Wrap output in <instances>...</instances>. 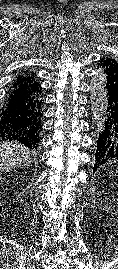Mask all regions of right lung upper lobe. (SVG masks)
Instances as JSON below:
<instances>
[{
	"instance_id": "cb5924a9",
	"label": "right lung upper lobe",
	"mask_w": 118,
	"mask_h": 269,
	"mask_svg": "<svg viewBox=\"0 0 118 269\" xmlns=\"http://www.w3.org/2000/svg\"><path fill=\"white\" fill-rule=\"evenodd\" d=\"M15 84H19V85H30V84H38V82H36L35 77L31 74H27L26 72H24L23 75L19 76L17 78V80L15 81ZM38 101H37V118H41L42 117V93H40V95L37 97Z\"/></svg>"
}]
</instances>
